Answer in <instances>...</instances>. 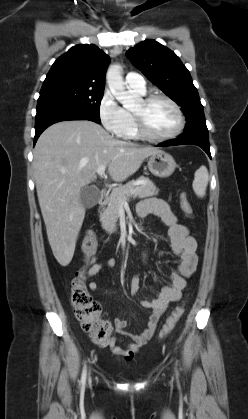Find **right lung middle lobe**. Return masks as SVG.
I'll list each match as a JSON object with an SVG mask.
<instances>
[{
    "instance_id": "right-lung-middle-lobe-1",
    "label": "right lung middle lobe",
    "mask_w": 248,
    "mask_h": 419,
    "mask_svg": "<svg viewBox=\"0 0 248 419\" xmlns=\"http://www.w3.org/2000/svg\"><path fill=\"white\" fill-rule=\"evenodd\" d=\"M104 90H91L82 87L56 86L42 88L37 103V113L76 109L100 120V103Z\"/></svg>"
}]
</instances>
